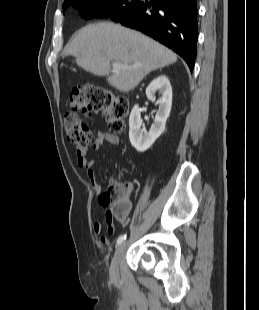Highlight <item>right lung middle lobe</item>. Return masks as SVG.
<instances>
[{
  "instance_id": "right-lung-middle-lobe-1",
  "label": "right lung middle lobe",
  "mask_w": 259,
  "mask_h": 310,
  "mask_svg": "<svg viewBox=\"0 0 259 310\" xmlns=\"http://www.w3.org/2000/svg\"><path fill=\"white\" fill-rule=\"evenodd\" d=\"M138 0H99L94 2L70 1L63 4V9L70 4L79 9V14L85 18L93 17H110L118 22L130 11L134 10L138 5Z\"/></svg>"
}]
</instances>
